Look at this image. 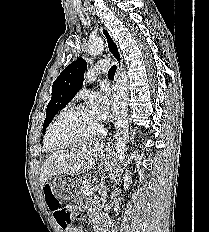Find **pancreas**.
Returning <instances> with one entry per match:
<instances>
[{
    "label": "pancreas",
    "mask_w": 209,
    "mask_h": 232,
    "mask_svg": "<svg viewBox=\"0 0 209 232\" xmlns=\"http://www.w3.org/2000/svg\"><path fill=\"white\" fill-rule=\"evenodd\" d=\"M92 186V182L90 179H84L82 181L81 191L84 195H86V192L90 190Z\"/></svg>",
    "instance_id": "obj_1"
}]
</instances>
